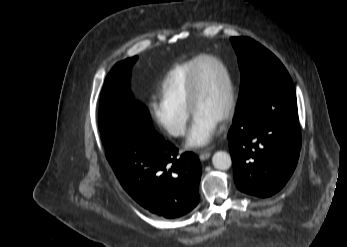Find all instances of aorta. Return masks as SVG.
<instances>
[{
  "label": "aorta",
  "mask_w": 347,
  "mask_h": 247,
  "mask_svg": "<svg viewBox=\"0 0 347 247\" xmlns=\"http://www.w3.org/2000/svg\"><path fill=\"white\" fill-rule=\"evenodd\" d=\"M212 163L218 170H228L232 165L230 154L225 151H217L212 157Z\"/></svg>",
  "instance_id": "aorta-1"
}]
</instances>
